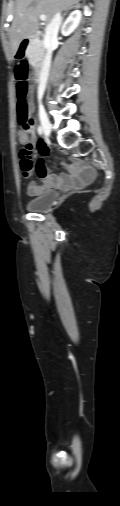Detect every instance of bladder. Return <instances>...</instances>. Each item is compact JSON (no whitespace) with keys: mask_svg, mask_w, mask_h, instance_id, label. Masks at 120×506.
Segmentation results:
<instances>
[{"mask_svg":"<svg viewBox=\"0 0 120 506\" xmlns=\"http://www.w3.org/2000/svg\"><path fill=\"white\" fill-rule=\"evenodd\" d=\"M58 193L48 191L39 197L30 198L26 202V208L32 212H46L57 201Z\"/></svg>","mask_w":120,"mask_h":506,"instance_id":"bladder-1","label":"bladder"}]
</instances>
